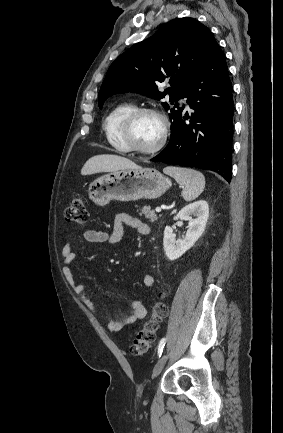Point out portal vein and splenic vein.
Masks as SVG:
<instances>
[{
	"instance_id": "18ae733b",
	"label": "portal vein and splenic vein",
	"mask_w": 283,
	"mask_h": 433,
	"mask_svg": "<svg viewBox=\"0 0 283 433\" xmlns=\"http://www.w3.org/2000/svg\"><path fill=\"white\" fill-rule=\"evenodd\" d=\"M155 210L156 212H161V206H156Z\"/></svg>"
}]
</instances>
